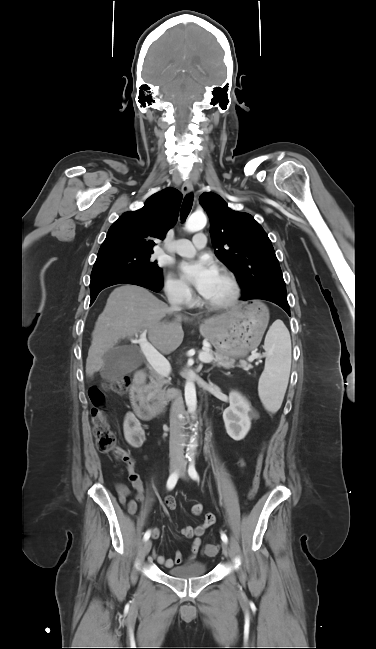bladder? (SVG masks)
<instances>
[{
	"instance_id": "31cf9c89",
	"label": "bladder",
	"mask_w": 376,
	"mask_h": 649,
	"mask_svg": "<svg viewBox=\"0 0 376 649\" xmlns=\"http://www.w3.org/2000/svg\"><path fill=\"white\" fill-rule=\"evenodd\" d=\"M208 571L207 566L201 562H194L180 567H174L167 573L170 576L179 579H191L205 575Z\"/></svg>"
}]
</instances>
